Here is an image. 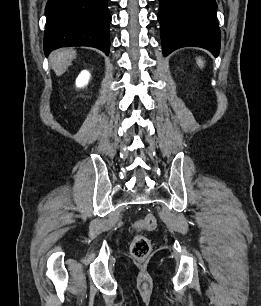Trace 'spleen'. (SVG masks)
I'll return each instance as SVG.
<instances>
[{
  "label": "spleen",
  "instance_id": "obj_1",
  "mask_svg": "<svg viewBox=\"0 0 261 306\" xmlns=\"http://www.w3.org/2000/svg\"><path fill=\"white\" fill-rule=\"evenodd\" d=\"M196 60H197L198 66L202 69V68L204 67V62H203V60H202L201 58H197Z\"/></svg>",
  "mask_w": 261,
  "mask_h": 306
}]
</instances>
